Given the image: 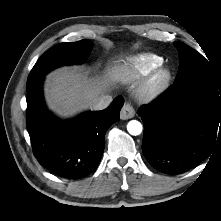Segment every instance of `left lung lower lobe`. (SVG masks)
<instances>
[{"label":"left lung lower lobe","instance_id":"1","mask_svg":"<svg viewBox=\"0 0 221 221\" xmlns=\"http://www.w3.org/2000/svg\"><path fill=\"white\" fill-rule=\"evenodd\" d=\"M138 115L145 127L143 154L165 174L194 168L221 140V93L202 82L174 84Z\"/></svg>","mask_w":221,"mask_h":221}]
</instances>
